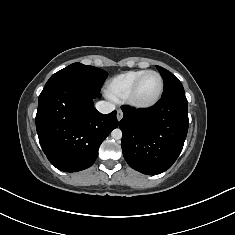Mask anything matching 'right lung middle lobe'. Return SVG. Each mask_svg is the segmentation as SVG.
<instances>
[{"mask_svg": "<svg viewBox=\"0 0 235 235\" xmlns=\"http://www.w3.org/2000/svg\"><path fill=\"white\" fill-rule=\"evenodd\" d=\"M106 78L107 72L102 69L81 63H73L53 74L45 87L62 83H75L100 91Z\"/></svg>", "mask_w": 235, "mask_h": 235, "instance_id": "right-lung-middle-lobe-1", "label": "right lung middle lobe"}]
</instances>
